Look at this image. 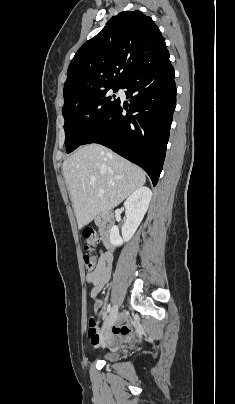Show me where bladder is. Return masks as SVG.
<instances>
[{
  "label": "bladder",
  "mask_w": 235,
  "mask_h": 404,
  "mask_svg": "<svg viewBox=\"0 0 235 404\" xmlns=\"http://www.w3.org/2000/svg\"><path fill=\"white\" fill-rule=\"evenodd\" d=\"M117 357H118L117 352H108L104 355V359L107 361H114L117 359Z\"/></svg>",
  "instance_id": "1"
}]
</instances>
